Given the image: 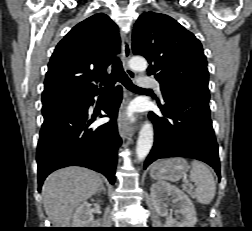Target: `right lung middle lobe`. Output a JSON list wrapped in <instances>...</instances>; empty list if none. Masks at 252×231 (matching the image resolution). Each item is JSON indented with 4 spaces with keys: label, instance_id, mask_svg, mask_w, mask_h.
I'll return each mask as SVG.
<instances>
[{
    "label": "right lung middle lobe",
    "instance_id": "1",
    "mask_svg": "<svg viewBox=\"0 0 252 231\" xmlns=\"http://www.w3.org/2000/svg\"><path fill=\"white\" fill-rule=\"evenodd\" d=\"M78 97H61L55 98L48 101H42V113L44 118L61 112L65 109H69L77 103Z\"/></svg>",
    "mask_w": 252,
    "mask_h": 231
}]
</instances>
